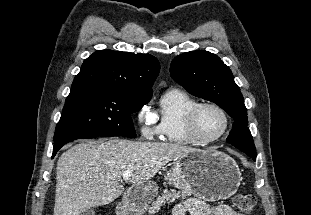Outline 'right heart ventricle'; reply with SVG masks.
I'll list each match as a JSON object with an SVG mask.
<instances>
[{"label": "right heart ventricle", "instance_id": "obj_1", "mask_svg": "<svg viewBox=\"0 0 311 215\" xmlns=\"http://www.w3.org/2000/svg\"><path fill=\"white\" fill-rule=\"evenodd\" d=\"M190 95L180 89H170L162 96L158 120L163 140L177 144L196 143L187 133L185 116L196 104Z\"/></svg>", "mask_w": 311, "mask_h": 215}]
</instances>
